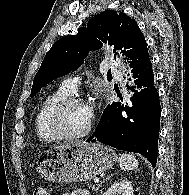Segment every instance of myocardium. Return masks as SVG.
I'll list each match as a JSON object with an SVG mask.
<instances>
[{
    "instance_id": "1",
    "label": "myocardium",
    "mask_w": 189,
    "mask_h": 195,
    "mask_svg": "<svg viewBox=\"0 0 189 195\" xmlns=\"http://www.w3.org/2000/svg\"><path fill=\"white\" fill-rule=\"evenodd\" d=\"M75 104H86L87 101L84 98L78 96H69L62 100L51 112L49 117V126L51 131L58 139L74 141L80 140L86 137L93 129L95 119L91 114V119L86 128L78 134H69L62 127V118L64 113Z\"/></svg>"
}]
</instances>
